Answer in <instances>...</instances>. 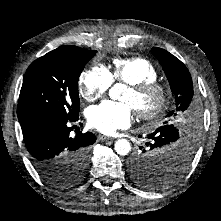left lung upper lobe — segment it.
Here are the masks:
<instances>
[{
	"label": "left lung upper lobe",
	"instance_id": "obj_1",
	"mask_svg": "<svg viewBox=\"0 0 221 221\" xmlns=\"http://www.w3.org/2000/svg\"><path fill=\"white\" fill-rule=\"evenodd\" d=\"M152 54L158 59L176 96V109L167 117L184 115L191 116L193 83L187 67L168 51L154 47ZM149 135L151 142L146 143L148 149H142L135 156L139 163L130 166V174L135 184L147 189L163 188L176 181L185 171L191 158V151L185 144L172 146L179 139V132L168 122L164 123ZM173 131L172 138H165L162 130ZM170 146V147H169Z\"/></svg>",
	"mask_w": 221,
	"mask_h": 221
}]
</instances>
